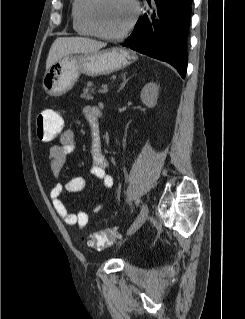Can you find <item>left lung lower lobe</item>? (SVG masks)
Wrapping results in <instances>:
<instances>
[{
	"label": "left lung lower lobe",
	"instance_id": "left-lung-lower-lobe-1",
	"mask_svg": "<svg viewBox=\"0 0 245 319\" xmlns=\"http://www.w3.org/2000/svg\"><path fill=\"white\" fill-rule=\"evenodd\" d=\"M147 1L150 9L122 45L173 65L184 78L192 0Z\"/></svg>",
	"mask_w": 245,
	"mask_h": 319
}]
</instances>
